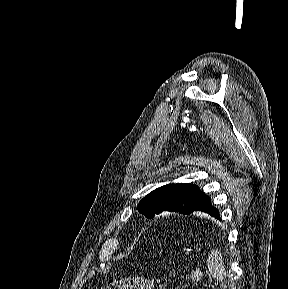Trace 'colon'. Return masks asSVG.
I'll return each mask as SVG.
<instances>
[{
  "instance_id": "obj_1",
  "label": "colon",
  "mask_w": 288,
  "mask_h": 289,
  "mask_svg": "<svg viewBox=\"0 0 288 289\" xmlns=\"http://www.w3.org/2000/svg\"><path fill=\"white\" fill-rule=\"evenodd\" d=\"M100 289H163V285L158 279L136 275L113 279Z\"/></svg>"
}]
</instances>
